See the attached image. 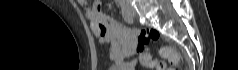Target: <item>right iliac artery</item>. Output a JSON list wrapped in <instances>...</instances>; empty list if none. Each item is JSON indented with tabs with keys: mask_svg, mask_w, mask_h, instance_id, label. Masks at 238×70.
<instances>
[{
	"mask_svg": "<svg viewBox=\"0 0 238 70\" xmlns=\"http://www.w3.org/2000/svg\"><path fill=\"white\" fill-rule=\"evenodd\" d=\"M121 13H122L124 20L127 23H129V24L133 23L132 15L129 13V11L124 6H122V8H121Z\"/></svg>",
	"mask_w": 238,
	"mask_h": 70,
	"instance_id": "right-iliac-artery-1",
	"label": "right iliac artery"
}]
</instances>
